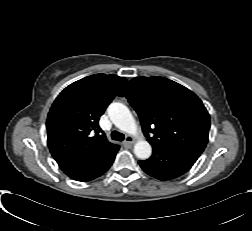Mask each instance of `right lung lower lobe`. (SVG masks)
<instances>
[{
	"label": "right lung lower lobe",
	"mask_w": 252,
	"mask_h": 231,
	"mask_svg": "<svg viewBox=\"0 0 252 231\" xmlns=\"http://www.w3.org/2000/svg\"><path fill=\"white\" fill-rule=\"evenodd\" d=\"M110 166H111V165H110ZM110 166H109V167H110ZM109 167L107 168V170L109 169ZM107 170H106V171H107ZM106 171H105V172H106ZM105 172H104V173H105Z\"/></svg>",
	"instance_id": "98d812e1"
}]
</instances>
